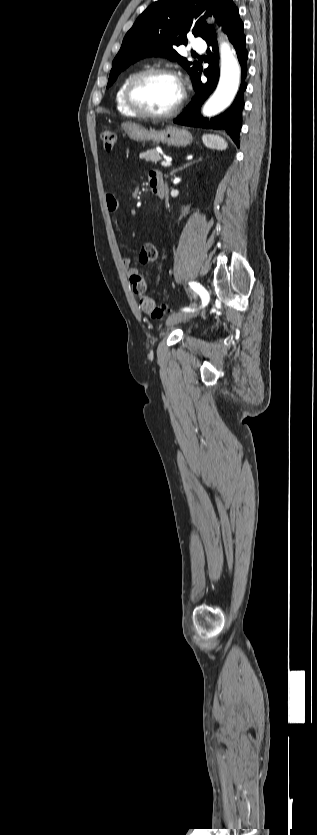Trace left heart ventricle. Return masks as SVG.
Wrapping results in <instances>:
<instances>
[{"instance_id":"obj_1","label":"left heart ventricle","mask_w":317,"mask_h":835,"mask_svg":"<svg viewBox=\"0 0 317 835\" xmlns=\"http://www.w3.org/2000/svg\"><path fill=\"white\" fill-rule=\"evenodd\" d=\"M181 96L180 84L165 75L147 78L136 90V99L151 112H164L174 107Z\"/></svg>"}]
</instances>
